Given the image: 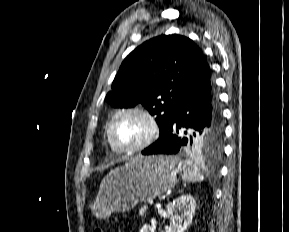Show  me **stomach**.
Returning <instances> with one entry per match:
<instances>
[{
    "label": "stomach",
    "mask_w": 289,
    "mask_h": 232,
    "mask_svg": "<svg viewBox=\"0 0 289 232\" xmlns=\"http://www.w3.org/2000/svg\"><path fill=\"white\" fill-rule=\"evenodd\" d=\"M178 159L172 156H137L111 171L91 204L97 218L127 212L139 202L170 190L177 183Z\"/></svg>",
    "instance_id": "obj_1"
}]
</instances>
